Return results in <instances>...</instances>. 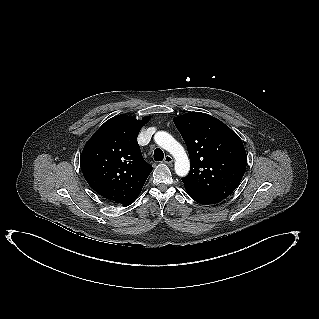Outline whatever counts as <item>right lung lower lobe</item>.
Returning <instances> with one entry per match:
<instances>
[{
  "label": "right lung lower lobe",
  "instance_id": "obj_1",
  "mask_svg": "<svg viewBox=\"0 0 319 319\" xmlns=\"http://www.w3.org/2000/svg\"><path fill=\"white\" fill-rule=\"evenodd\" d=\"M135 200H136V198L134 200L130 201L128 204L124 205V206H128V205L132 204Z\"/></svg>",
  "mask_w": 319,
  "mask_h": 319
}]
</instances>
